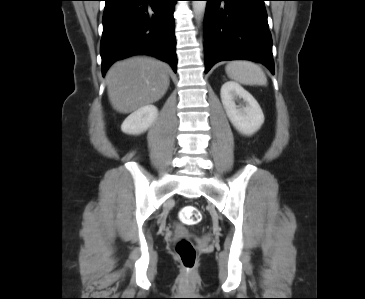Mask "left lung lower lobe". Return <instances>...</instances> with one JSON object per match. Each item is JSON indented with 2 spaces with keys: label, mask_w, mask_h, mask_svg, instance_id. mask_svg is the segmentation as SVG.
<instances>
[{
  "label": "left lung lower lobe",
  "mask_w": 365,
  "mask_h": 299,
  "mask_svg": "<svg viewBox=\"0 0 365 299\" xmlns=\"http://www.w3.org/2000/svg\"><path fill=\"white\" fill-rule=\"evenodd\" d=\"M205 73L225 60L264 64L274 74L265 0H205Z\"/></svg>",
  "instance_id": "1"
}]
</instances>
